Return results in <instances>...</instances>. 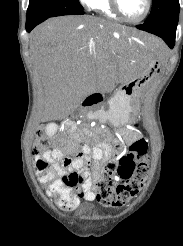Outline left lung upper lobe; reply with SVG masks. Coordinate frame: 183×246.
Here are the masks:
<instances>
[{
  "label": "left lung upper lobe",
  "instance_id": "obj_1",
  "mask_svg": "<svg viewBox=\"0 0 183 246\" xmlns=\"http://www.w3.org/2000/svg\"><path fill=\"white\" fill-rule=\"evenodd\" d=\"M179 8V0H152L151 13L144 24L156 22Z\"/></svg>",
  "mask_w": 183,
  "mask_h": 246
}]
</instances>
